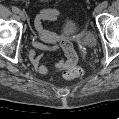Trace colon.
<instances>
[{"label": "colon", "instance_id": "obj_1", "mask_svg": "<svg viewBox=\"0 0 119 119\" xmlns=\"http://www.w3.org/2000/svg\"><path fill=\"white\" fill-rule=\"evenodd\" d=\"M82 75L83 70L78 66L69 67L63 71V77L68 80L80 78Z\"/></svg>", "mask_w": 119, "mask_h": 119}]
</instances>
